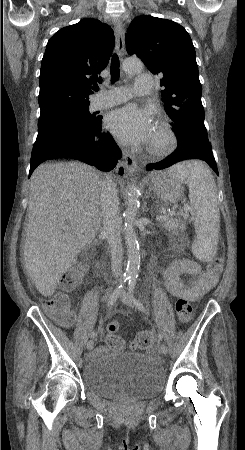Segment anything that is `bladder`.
I'll list each match as a JSON object with an SVG mask.
<instances>
[{
	"instance_id": "obj_1",
	"label": "bladder",
	"mask_w": 245,
	"mask_h": 450,
	"mask_svg": "<svg viewBox=\"0 0 245 450\" xmlns=\"http://www.w3.org/2000/svg\"><path fill=\"white\" fill-rule=\"evenodd\" d=\"M86 389L105 398L159 395L165 381L160 363L142 353L106 354L91 358L82 369Z\"/></svg>"
}]
</instances>
